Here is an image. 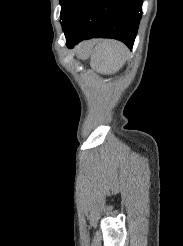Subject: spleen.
<instances>
[{
    "mask_svg": "<svg viewBox=\"0 0 183 246\" xmlns=\"http://www.w3.org/2000/svg\"><path fill=\"white\" fill-rule=\"evenodd\" d=\"M128 49L118 41L107 40L101 43L96 56V65L101 73L112 74L124 65Z\"/></svg>",
    "mask_w": 183,
    "mask_h": 246,
    "instance_id": "1",
    "label": "spleen"
}]
</instances>
